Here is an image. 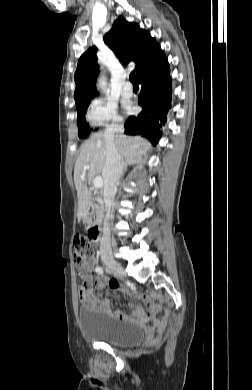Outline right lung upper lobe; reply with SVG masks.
<instances>
[{
  "label": "right lung upper lobe",
  "instance_id": "1",
  "mask_svg": "<svg viewBox=\"0 0 252 390\" xmlns=\"http://www.w3.org/2000/svg\"><path fill=\"white\" fill-rule=\"evenodd\" d=\"M105 44L120 58L123 64L134 61L137 79L144 74L156 72L169 65L160 45L142 30L139 25L128 23L119 17L111 30L104 36ZM97 48H89L79 59L74 76L76 88L74 98L76 108L88 103L96 95L95 80L98 69Z\"/></svg>",
  "mask_w": 252,
  "mask_h": 390
}]
</instances>
